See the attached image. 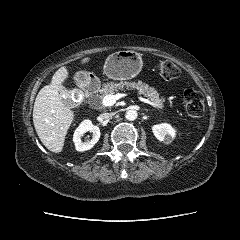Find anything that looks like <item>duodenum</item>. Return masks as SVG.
Returning a JSON list of instances; mask_svg holds the SVG:
<instances>
[{"mask_svg":"<svg viewBox=\"0 0 240 240\" xmlns=\"http://www.w3.org/2000/svg\"><path fill=\"white\" fill-rule=\"evenodd\" d=\"M83 87L85 88L88 95H92L98 90V82L94 79H86L83 83Z\"/></svg>","mask_w":240,"mask_h":240,"instance_id":"410a0bca","label":"duodenum"}]
</instances>
